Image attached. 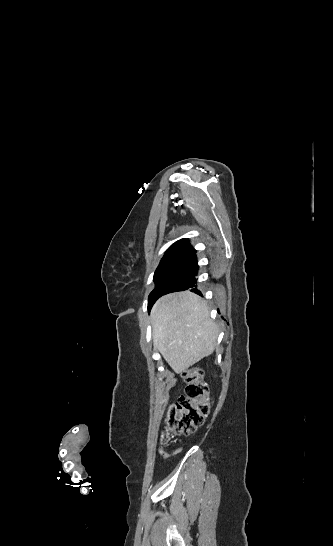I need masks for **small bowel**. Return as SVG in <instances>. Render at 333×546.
<instances>
[{"label": "small bowel", "mask_w": 333, "mask_h": 546, "mask_svg": "<svg viewBox=\"0 0 333 546\" xmlns=\"http://www.w3.org/2000/svg\"><path fill=\"white\" fill-rule=\"evenodd\" d=\"M161 455L164 459H167L168 458V453L165 452V451H161Z\"/></svg>", "instance_id": "obj_1"}]
</instances>
